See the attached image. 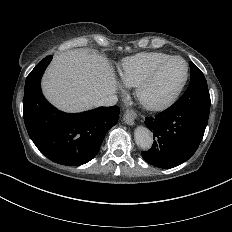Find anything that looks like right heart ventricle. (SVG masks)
Here are the masks:
<instances>
[{
  "mask_svg": "<svg viewBox=\"0 0 232 232\" xmlns=\"http://www.w3.org/2000/svg\"><path fill=\"white\" fill-rule=\"evenodd\" d=\"M169 57V54L158 51H143L126 56L117 67V80L124 88L136 87L153 67Z\"/></svg>",
  "mask_w": 232,
  "mask_h": 232,
  "instance_id": "e07e8e85",
  "label": "right heart ventricle"
}]
</instances>
